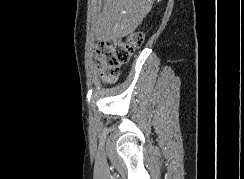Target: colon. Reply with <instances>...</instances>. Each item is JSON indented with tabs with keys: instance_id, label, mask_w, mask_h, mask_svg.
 Listing matches in <instances>:
<instances>
[{
	"instance_id": "5ec220e1",
	"label": "colon",
	"mask_w": 244,
	"mask_h": 179,
	"mask_svg": "<svg viewBox=\"0 0 244 179\" xmlns=\"http://www.w3.org/2000/svg\"><path fill=\"white\" fill-rule=\"evenodd\" d=\"M143 40L142 32H135L128 40H112L98 47L100 72L105 81L113 82L119 76L120 67L129 62L131 53Z\"/></svg>"
}]
</instances>
